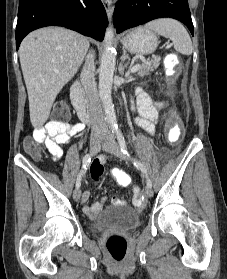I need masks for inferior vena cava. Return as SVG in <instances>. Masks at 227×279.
Wrapping results in <instances>:
<instances>
[{
	"instance_id": "602c4592",
	"label": "inferior vena cava",
	"mask_w": 227,
	"mask_h": 279,
	"mask_svg": "<svg viewBox=\"0 0 227 279\" xmlns=\"http://www.w3.org/2000/svg\"><path fill=\"white\" fill-rule=\"evenodd\" d=\"M94 53L86 57V62L81 72V83L88 97V110L92 125V134L100 135L107 133V127L103 118L97 85L95 82Z\"/></svg>"
}]
</instances>
